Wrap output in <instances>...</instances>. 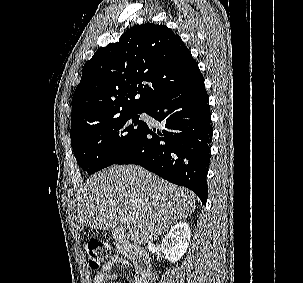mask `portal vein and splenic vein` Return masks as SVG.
<instances>
[{"label":"portal vein and splenic vein","mask_w":303,"mask_h":283,"mask_svg":"<svg viewBox=\"0 0 303 283\" xmlns=\"http://www.w3.org/2000/svg\"><path fill=\"white\" fill-rule=\"evenodd\" d=\"M121 220H122L124 225L130 226L131 218L129 216L124 215V216L121 217Z\"/></svg>","instance_id":"18ae733b"}]
</instances>
